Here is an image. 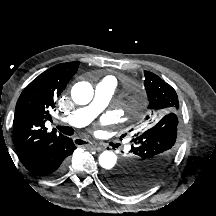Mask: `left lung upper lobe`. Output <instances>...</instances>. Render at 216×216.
Returning a JSON list of instances; mask_svg holds the SVG:
<instances>
[{
    "label": "left lung upper lobe",
    "instance_id": "obj_1",
    "mask_svg": "<svg viewBox=\"0 0 216 216\" xmlns=\"http://www.w3.org/2000/svg\"><path fill=\"white\" fill-rule=\"evenodd\" d=\"M150 126L134 132L121 167L107 173V186L120 194H137L154 185L172 164L181 138V108L175 90L144 71ZM133 130V129H132ZM131 130V131H132Z\"/></svg>",
    "mask_w": 216,
    "mask_h": 216
}]
</instances>
